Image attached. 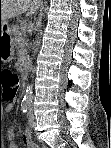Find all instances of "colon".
Returning a JSON list of instances; mask_svg holds the SVG:
<instances>
[{"instance_id":"obj_1","label":"colon","mask_w":111,"mask_h":148,"mask_svg":"<svg viewBox=\"0 0 111 148\" xmlns=\"http://www.w3.org/2000/svg\"><path fill=\"white\" fill-rule=\"evenodd\" d=\"M18 77L8 69L0 71V86L5 100L15 101L18 93ZM39 146L35 147L38 148Z\"/></svg>"}]
</instances>
